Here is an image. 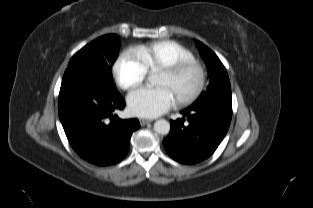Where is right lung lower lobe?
<instances>
[{"label": "right lung lower lobe", "instance_id": "obj_1", "mask_svg": "<svg viewBox=\"0 0 313 208\" xmlns=\"http://www.w3.org/2000/svg\"><path fill=\"white\" fill-rule=\"evenodd\" d=\"M124 106L120 93L106 88L99 80L77 71L63 77L59 118L72 148L90 163L111 165L126 156L131 135L140 123L137 119L112 116L114 110Z\"/></svg>", "mask_w": 313, "mask_h": 208}]
</instances>
